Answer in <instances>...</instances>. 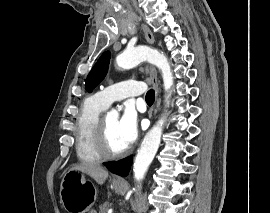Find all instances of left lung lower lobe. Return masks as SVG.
<instances>
[{"label": "left lung lower lobe", "mask_w": 270, "mask_h": 213, "mask_svg": "<svg viewBox=\"0 0 270 213\" xmlns=\"http://www.w3.org/2000/svg\"><path fill=\"white\" fill-rule=\"evenodd\" d=\"M132 156L128 157L126 159L117 161V162H113L111 165H109L107 168L109 171H111L112 173H115L117 175L120 176H127L131 167V163H132Z\"/></svg>", "instance_id": "left-lung-lower-lobe-1"}]
</instances>
